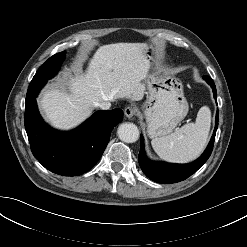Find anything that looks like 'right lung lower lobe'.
Returning a JSON list of instances; mask_svg holds the SVG:
<instances>
[{"instance_id": "98d812e1", "label": "right lung lower lobe", "mask_w": 247, "mask_h": 247, "mask_svg": "<svg viewBox=\"0 0 247 247\" xmlns=\"http://www.w3.org/2000/svg\"><path fill=\"white\" fill-rule=\"evenodd\" d=\"M43 85L30 84L26 95L24 123L32 153L53 173L81 175L102 156L112 129L123 120V111H97L77 129L58 132L43 122L37 109L36 97Z\"/></svg>"}]
</instances>
